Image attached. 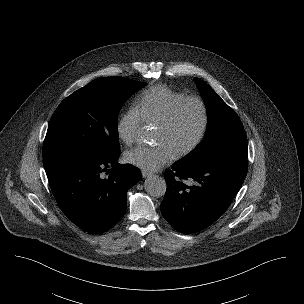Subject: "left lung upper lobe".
<instances>
[{"label": "left lung upper lobe", "instance_id": "5c2ea615", "mask_svg": "<svg viewBox=\"0 0 304 304\" xmlns=\"http://www.w3.org/2000/svg\"><path fill=\"white\" fill-rule=\"evenodd\" d=\"M194 80L206 105L208 127L203 141L179 161L198 168L228 158L247 160V137L239 117L210 86Z\"/></svg>", "mask_w": 304, "mask_h": 304}]
</instances>
